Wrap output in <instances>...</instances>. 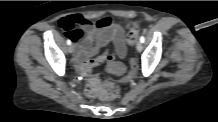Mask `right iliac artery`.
Wrapping results in <instances>:
<instances>
[{
  "label": "right iliac artery",
  "mask_w": 218,
  "mask_h": 122,
  "mask_svg": "<svg viewBox=\"0 0 218 122\" xmlns=\"http://www.w3.org/2000/svg\"><path fill=\"white\" fill-rule=\"evenodd\" d=\"M67 44H68V45L71 44V40H70V39L67 40Z\"/></svg>",
  "instance_id": "82829eb1"
}]
</instances>
